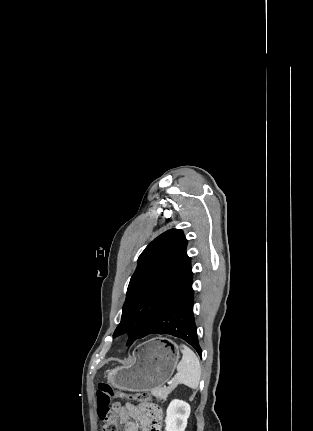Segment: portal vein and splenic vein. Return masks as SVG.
Here are the masks:
<instances>
[{"instance_id":"1","label":"portal vein and splenic vein","mask_w":313,"mask_h":431,"mask_svg":"<svg viewBox=\"0 0 313 431\" xmlns=\"http://www.w3.org/2000/svg\"><path fill=\"white\" fill-rule=\"evenodd\" d=\"M174 381V379H172L169 383L171 384Z\"/></svg>"}]
</instances>
